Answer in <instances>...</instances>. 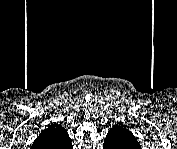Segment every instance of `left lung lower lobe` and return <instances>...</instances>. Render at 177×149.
Here are the masks:
<instances>
[{
	"label": "left lung lower lobe",
	"mask_w": 177,
	"mask_h": 149,
	"mask_svg": "<svg viewBox=\"0 0 177 149\" xmlns=\"http://www.w3.org/2000/svg\"><path fill=\"white\" fill-rule=\"evenodd\" d=\"M122 136H116V137H107L104 141V148L108 149H118L121 148V146L124 145Z\"/></svg>",
	"instance_id": "obj_1"
}]
</instances>
